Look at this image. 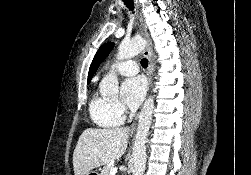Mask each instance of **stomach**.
<instances>
[{"label": "stomach", "mask_w": 251, "mask_h": 175, "mask_svg": "<svg viewBox=\"0 0 251 175\" xmlns=\"http://www.w3.org/2000/svg\"><path fill=\"white\" fill-rule=\"evenodd\" d=\"M87 175H99L97 171H88Z\"/></svg>", "instance_id": "stomach-1"}]
</instances>
